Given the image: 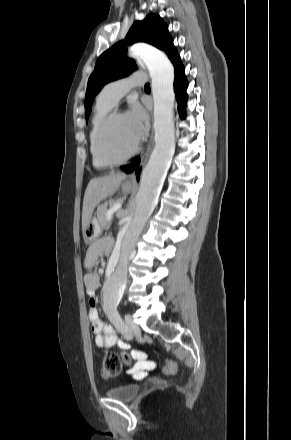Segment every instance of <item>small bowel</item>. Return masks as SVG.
<instances>
[{
  "instance_id": "1",
  "label": "small bowel",
  "mask_w": 291,
  "mask_h": 440,
  "mask_svg": "<svg viewBox=\"0 0 291 440\" xmlns=\"http://www.w3.org/2000/svg\"><path fill=\"white\" fill-rule=\"evenodd\" d=\"M113 246L112 240L101 239L93 244L87 251L85 256V265L87 267H93L98 260L111 251ZM85 287L88 294L89 301V321L91 323L92 331L95 334L96 345L104 352H108L112 347L118 346L122 349H129V345L120 341L115 334V331L111 325L103 323L99 311L97 309L96 290L99 287V276L95 272H88L84 277ZM133 359H136V363L132 368L127 370L128 373L138 376H145L148 372L155 369V363L146 359L143 354L131 352Z\"/></svg>"
}]
</instances>
